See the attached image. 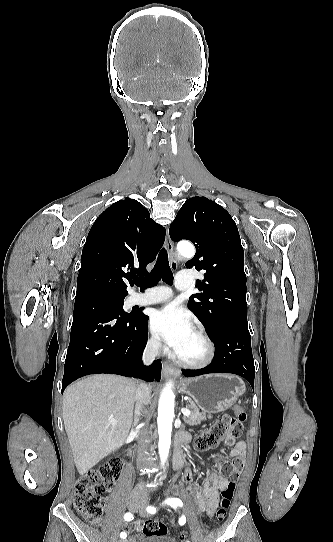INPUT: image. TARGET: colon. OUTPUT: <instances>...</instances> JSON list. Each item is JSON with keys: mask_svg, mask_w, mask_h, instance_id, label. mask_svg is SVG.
I'll use <instances>...</instances> for the list:
<instances>
[{"mask_svg": "<svg viewBox=\"0 0 333 542\" xmlns=\"http://www.w3.org/2000/svg\"><path fill=\"white\" fill-rule=\"evenodd\" d=\"M246 413L237 408L234 415H223L209 429L195 439V448L206 451L217 446L223 439H238L243 432ZM222 471L229 477L228 485L221 491L219 508L215 512L218 520L226 517L227 509L234 496L236 485L244 468V457L235 455L232 460L222 461ZM121 465L112 460L96 472L79 476L75 485L73 504L77 511L92 524H98L102 518L105 491L116 481ZM142 532L149 538L166 535V525L160 520H145Z\"/></svg>", "mask_w": 333, "mask_h": 542, "instance_id": "obj_1", "label": "colon"}]
</instances>
